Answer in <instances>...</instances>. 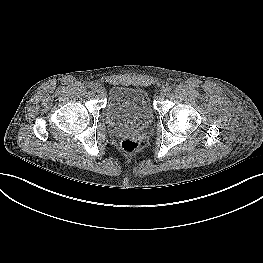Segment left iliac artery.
Masks as SVG:
<instances>
[{"label":"left iliac artery","mask_w":263,"mask_h":263,"mask_svg":"<svg viewBox=\"0 0 263 263\" xmlns=\"http://www.w3.org/2000/svg\"><path fill=\"white\" fill-rule=\"evenodd\" d=\"M171 89H172L171 86H167V87H166V90H167L168 92L171 91Z\"/></svg>","instance_id":"44dca946"}]
</instances>
